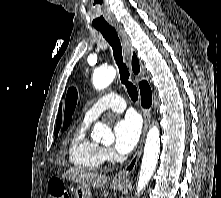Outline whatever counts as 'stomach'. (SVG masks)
I'll use <instances>...</instances> for the list:
<instances>
[{"label":"stomach","mask_w":221,"mask_h":198,"mask_svg":"<svg viewBox=\"0 0 221 198\" xmlns=\"http://www.w3.org/2000/svg\"><path fill=\"white\" fill-rule=\"evenodd\" d=\"M125 186V183H112L111 188L114 190H120ZM74 198H91V192L89 187L78 185L74 189Z\"/></svg>","instance_id":"0dacf381"}]
</instances>
